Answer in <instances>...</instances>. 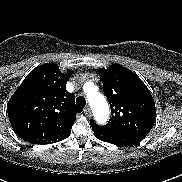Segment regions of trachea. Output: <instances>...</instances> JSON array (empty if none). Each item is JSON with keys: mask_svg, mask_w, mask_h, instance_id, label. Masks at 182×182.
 Returning <instances> with one entry per match:
<instances>
[{"mask_svg": "<svg viewBox=\"0 0 182 182\" xmlns=\"http://www.w3.org/2000/svg\"><path fill=\"white\" fill-rule=\"evenodd\" d=\"M76 104L77 106L81 107V108H84L85 105H86V100L83 96H79L77 99H76Z\"/></svg>", "mask_w": 182, "mask_h": 182, "instance_id": "3493384b", "label": "trachea"}]
</instances>
